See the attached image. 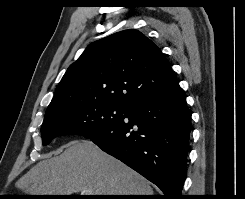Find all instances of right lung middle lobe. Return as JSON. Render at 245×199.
<instances>
[{
    "label": "right lung middle lobe",
    "mask_w": 245,
    "mask_h": 199,
    "mask_svg": "<svg viewBox=\"0 0 245 199\" xmlns=\"http://www.w3.org/2000/svg\"><path fill=\"white\" fill-rule=\"evenodd\" d=\"M127 109L110 103L78 104L63 108L45 116L41 127L43 145L62 135L95 136L122 119Z\"/></svg>",
    "instance_id": "1"
}]
</instances>
